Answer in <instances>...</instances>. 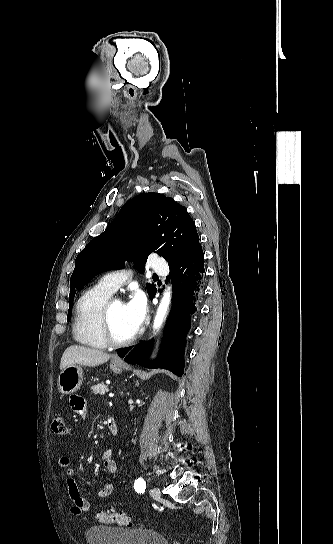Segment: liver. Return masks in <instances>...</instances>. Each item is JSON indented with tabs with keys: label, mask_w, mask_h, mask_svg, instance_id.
<instances>
[{
	"label": "liver",
	"mask_w": 333,
	"mask_h": 544,
	"mask_svg": "<svg viewBox=\"0 0 333 544\" xmlns=\"http://www.w3.org/2000/svg\"><path fill=\"white\" fill-rule=\"evenodd\" d=\"M111 355L97 349L87 348L80 345L68 347L61 358L60 370L65 367L79 364L89 367H95L107 362Z\"/></svg>",
	"instance_id": "obj_1"
}]
</instances>
